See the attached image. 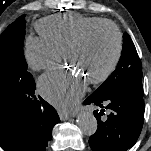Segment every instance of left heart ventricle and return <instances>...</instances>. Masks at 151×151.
<instances>
[{
	"label": "left heart ventricle",
	"instance_id": "1",
	"mask_svg": "<svg viewBox=\"0 0 151 151\" xmlns=\"http://www.w3.org/2000/svg\"><path fill=\"white\" fill-rule=\"evenodd\" d=\"M115 53V36L111 29L94 31L87 41L69 54L68 61L87 80L100 75Z\"/></svg>",
	"mask_w": 151,
	"mask_h": 151
}]
</instances>
